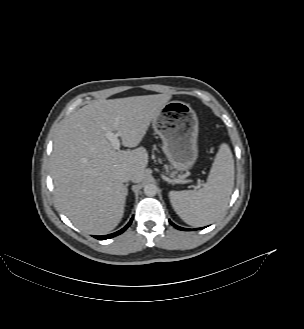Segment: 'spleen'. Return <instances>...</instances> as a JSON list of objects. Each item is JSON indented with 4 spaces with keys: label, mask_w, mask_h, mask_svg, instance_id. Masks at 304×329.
I'll list each match as a JSON object with an SVG mask.
<instances>
[{
    "label": "spleen",
    "mask_w": 304,
    "mask_h": 329,
    "mask_svg": "<svg viewBox=\"0 0 304 329\" xmlns=\"http://www.w3.org/2000/svg\"><path fill=\"white\" fill-rule=\"evenodd\" d=\"M233 186V155L229 146L222 144L206 185L199 190L170 191L169 199L185 223L199 227L213 222L225 211Z\"/></svg>",
    "instance_id": "3e777b00"
}]
</instances>
